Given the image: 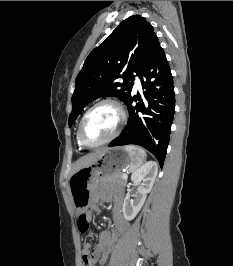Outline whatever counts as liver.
Returning <instances> with one entry per match:
<instances>
[{
    "label": "liver",
    "instance_id": "obj_1",
    "mask_svg": "<svg viewBox=\"0 0 233 266\" xmlns=\"http://www.w3.org/2000/svg\"><path fill=\"white\" fill-rule=\"evenodd\" d=\"M105 152V149L98 150L93 153H90L88 155H85L81 157L74 165L73 167V173L80 170L83 167H87L94 163L103 153Z\"/></svg>",
    "mask_w": 233,
    "mask_h": 266
}]
</instances>
